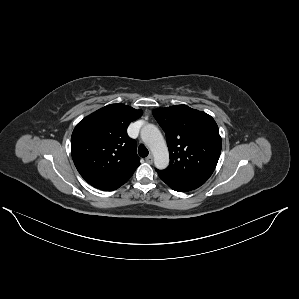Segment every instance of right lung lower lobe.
Listing matches in <instances>:
<instances>
[{"instance_id":"1","label":"right lung lower lobe","mask_w":299,"mask_h":299,"mask_svg":"<svg viewBox=\"0 0 299 299\" xmlns=\"http://www.w3.org/2000/svg\"><path fill=\"white\" fill-rule=\"evenodd\" d=\"M124 183L122 184H118V185H114V186H110V187H106V188H102L101 190H105V191H112V190H115L117 188H119L121 185H123Z\"/></svg>"}]
</instances>
